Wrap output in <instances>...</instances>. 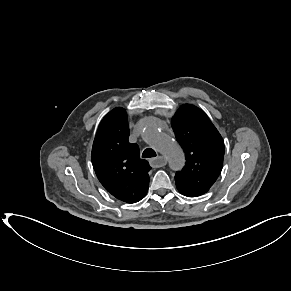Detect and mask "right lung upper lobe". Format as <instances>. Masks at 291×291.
Masks as SVG:
<instances>
[{
	"instance_id": "cb5924a9",
	"label": "right lung upper lobe",
	"mask_w": 291,
	"mask_h": 291,
	"mask_svg": "<svg viewBox=\"0 0 291 291\" xmlns=\"http://www.w3.org/2000/svg\"><path fill=\"white\" fill-rule=\"evenodd\" d=\"M126 111L117 107L101 121L92 147L91 160L103 187L117 199L135 203L147 193L151 170L139 157V147L128 141Z\"/></svg>"
}]
</instances>
